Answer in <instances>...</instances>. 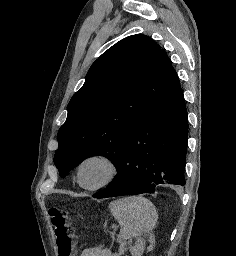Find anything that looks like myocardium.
I'll return each mask as SVG.
<instances>
[{"label":"myocardium","mask_w":236,"mask_h":256,"mask_svg":"<svg viewBox=\"0 0 236 256\" xmlns=\"http://www.w3.org/2000/svg\"><path fill=\"white\" fill-rule=\"evenodd\" d=\"M91 160H100V161H103L104 163H106L107 166L109 167V173H108L107 177L104 180H102L101 182H99L95 185H85L81 180V170H82L83 165ZM118 174H119L118 162L115 160V158L113 156H111L108 153H103V152H96V153H91L89 155H86L79 161V163L77 164V167H76L77 182L82 188L87 189V190H98L103 187H106L107 185L111 184L116 179Z\"/></svg>","instance_id":"myocardium-1"}]
</instances>
